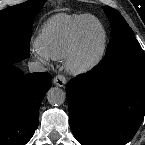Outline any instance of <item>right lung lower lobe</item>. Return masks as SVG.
<instances>
[{
	"instance_id": "98d812e1",
	"label": "right lung lower lobe",
	"mask_w": 145,
	"mask_h": 145,
	"mask_svg": "<svg viewBox=\"0 0 145 145\" xmlns=\"http://www.w3.org/2000/svg\"><path fill=\"white\" fill-rule=\"evenodd\" d=\"M50 74L23 75L14 63L0 64V145H25L38 126Z\"/></svg>"
}]
</instances>
